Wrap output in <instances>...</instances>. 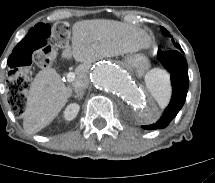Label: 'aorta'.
<instances>
[{
	"instance_id": "762f6f07",
	"label": "aorta",
	"mask_w": 215,
	"mask_h": 183,
	"mask_svg": "<svg viewBox=\"0 0 215 183\" xmlns=\"http://www.w3.org/2000/svg\"><path fill=\"white\" fill-rule=\"evenodd\" d=\"M90 81L98 90L124 99L136 112H147L149 103L144 93L117 65H96L90 72Z\"/></svg>"
}]
</instances>
